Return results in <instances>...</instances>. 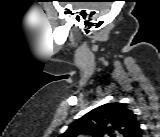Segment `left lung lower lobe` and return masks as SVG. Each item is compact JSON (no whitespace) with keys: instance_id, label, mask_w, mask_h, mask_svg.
I'll use <instances>...</instances> for the list:
<instances>
[{"instance_id":"left-lung-lower-lobe-1","label":"left lung lower lobe","mask_w":160,"mask_h":137,"mask_svg":"<svg viewBox=\"0 0 160 137\" xmlns=\"http://www.w3.org/2000/svg\"><path fill=\"white\" fill-rule=\"evenodd\" d=\"M141 129L140 127L137 129V131L134 133L133 137H140L141 136Z\"/></svg>"}]
</instances>
